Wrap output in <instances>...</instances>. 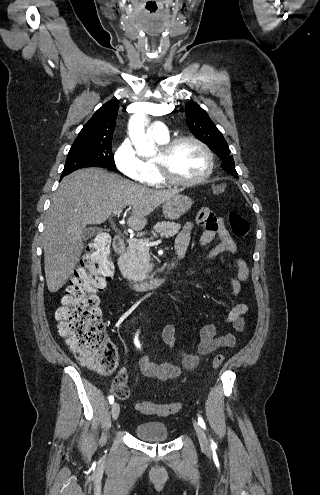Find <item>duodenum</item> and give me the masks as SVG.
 I'll list each match as a JSON object with an SVG mask.
<instances>
[{
  "instance_id": "duodenum-1",
  "label": "duodenum",
  "mask_w": 320,
  "mask_h": 495,
  "mask_svg": "<svg viewBox=\"0 0 320 495\" xmlns=\"http://www.w3.org/2000/svg\"><path fill=\"white\" fill-rule=\"evenodd\" d=\"M113 248L114 251L119 255V257H123L126 252V245L125 241L122 237L116 236L113 240ZM179 258L183 257V254H178ZM176 267V263H173L171 267L169 268V273L174 270ZM167 281V276L159 277L156 279L148 280V281H141V282H135L129 280L128 283L131 288L137 290V291H147V290H153L156 289Z\"/></svg>"
}]
</instances>
